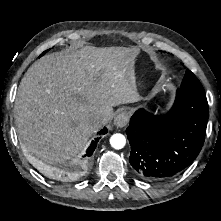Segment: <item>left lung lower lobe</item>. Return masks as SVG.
Masks as SVG:
<instances>
[{"label": "left lung lower lobe", "instance_id": "1", "mask_svg": "<svg viewBox=\"0 0 221 221\" xmlns=\"http://www.w3.org/2000/svg\"><path fill=\"white\" fill-rule=\"evenodd\" d=\"M208 103L205 95L178 89L166 115L136 111L126 129L135 173L148 181L175 177L198 156L205 139Z\"/></svg>", "mask_w": 221, "mask_h": 221}]
</instances>
